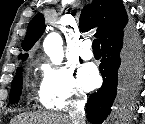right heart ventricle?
<instances>
[{
    "instance_id": "right-heart-ventricle-1",
    "label": "right heart ventricle",
    "mask_w": 145,
    "mask_h": 124,
    "mask_svg": "<svg viewBox=\"0 0 145 124\" xmlns=\"http://www.w3.org/2000/svg\"><path fill=\"white\" fill-rule=\"evenodd\" d=\"M39 100H40V102H41V104H42L43 107L49 108V109L52 108V106H51L49 103H47V102L42 98L41 93H40V95H39Z\"/></svg>"
}]
</instances>
